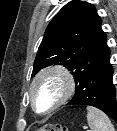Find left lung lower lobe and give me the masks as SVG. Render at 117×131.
<instances>
[{
    "label": "left lung lower lobe",
    "mask_w": 117,
    "mask_h": 131,
    "mask_svg": "<svg viewBox=\"0 0 117 131\" xmlns=\"http://www.w3.org/2000/svg\"><path fill=\"white\" fill-rule=\"evenodd\" d=\"M113 67L110 50L91 69L85 82L76 88L74 97L67 105L94 106L117 122L115 86L112 82Z\"/></svg>",
    "instance_id": "1"
}]
</instances>
